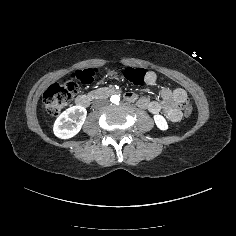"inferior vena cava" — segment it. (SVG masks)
Here are the masks:
<instances>
[{
    "label": "inferior vena cava",
    "instance_id": "obj_1",
    "mask_svg": "<svg viewBox=\"0 0 236 236\" xmlns=\"http://www.w3.org/2000/svg\"><path fill=\"white\" fill-rule=\"evenodd\" d=\"M106 103V100H98L96 102H94V106H98V105H104Z\"/></svg>",
    "mask_w": 236,
    "mask_h": 236
}]
</instances>
